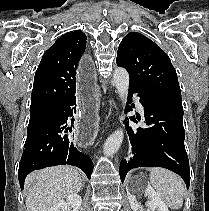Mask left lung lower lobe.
Returning <instances> with one entry per match:
<instances>
[{"label": "left lung lower lobe", "instance_id": "1", "mask_svg": "<svg viewBox=\"0 0 209 211\" xmlns=\"http://www.w3.org/2000/svg\"><path fill=\"white\" fill-rule=\"evenodd\" d=\"M129 92L137 93L140 97L145 122L149 127L133 128L126 125L134 156L130 162H121V181L133 168L163 167L179 174L189 188L190 169L184 146L182 102L150 96L133 85H129ZM131 120L136 122L135 117H131Z\"/></svg>", "mask_w": 209, "mask_h": 211}]
</instances>
